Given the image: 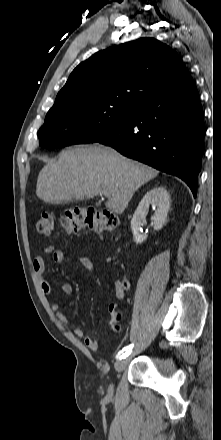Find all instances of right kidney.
<instances>
[{
	"instance_id": "obj_1",
	"label": "right kidney",
	"mask_w": 221,
	"mask_h": 440,
	"mask_svg": "<svg viewBox=\"0 0 221 440\" xmlns=\"http://www.w3.org/2000/svg\"><path fill=\"white\" fill-rule=\"evenodd\" d=\"M150 205L154 211L152 224L154 230L158 231L165 224L170 206V197L164 187H155L151 189L144 195L139 203L131 220V229L136 243H142L146 239V236L139 233V227L141 221L146 218Z\"/></svg>"
}]
</instances>
